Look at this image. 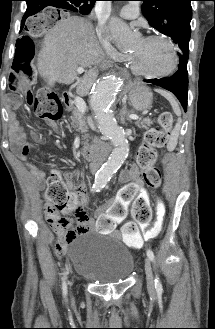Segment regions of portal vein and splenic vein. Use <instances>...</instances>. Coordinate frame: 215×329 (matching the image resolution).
<instances>
[{"mask_svg":"<svg viewBox=\"0 0 215 329\" xmlns=\"http://www.w3.org/2000/svg\"><path fill=\"white\" fill-rule=\"evenodd\" d=\"M84 72V67H78L77 68V73H82ZM74 103L77 107V109L79 110V112L83 115L85 112H86V103L85 101L79 97V96H76L75 99H74ZM129 118L132 119V120H138L140 119L138 115H129Z\"/></svg>","mask_w":215,"mask_h":329,"instance_id":"portal-vein-and-splenic-vein-1","label":"portal vein and splenic vein"}]
</instances>
